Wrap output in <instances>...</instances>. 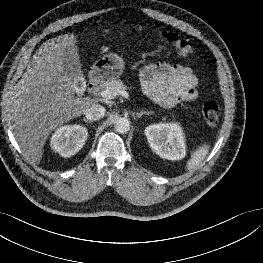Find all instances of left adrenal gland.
Segmentation results:
<instances>
[{
    "instance_id": "obj_1",
    "label": "left adrenal gland",
    "mask_w": 263,
    "mask_h": 263,
    "mask_svg": "<svg viewBox=\"0 0 263 263\" xmlns=\"http://www.w3.org/2000/svg\"><path fill=\"white\" fill-rule=\"evenodd\" d=\"M143 114H153L152 111H140L139 113H136V117L140 118Z\"/></svg>"
}]
</instances>
